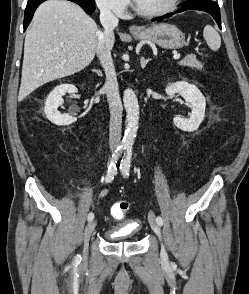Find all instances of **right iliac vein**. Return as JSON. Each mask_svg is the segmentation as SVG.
Returning a JSON list of instances; mask_svg holds the SVG:
<instances>
[{"label": "right iliac vein", "mask_w": 249, "mask_h": 294, "mask_svg": "<svg viewBox=\"0 0 249 294\" xmlns=\"http://www.w3.org/2000/svg\"><path fill=\"white\" fill-rule=\"evenodd\" d=\"M96 220H92L90 221L86 228H85V232H84V250H83V261H87L88 259V245H89V240L90 237L96 227Z\"/></svg>", "instance_id": "right-iliac-vein-1"}]
</instances>
